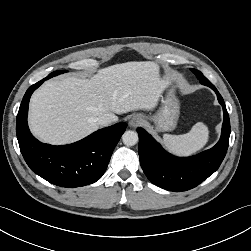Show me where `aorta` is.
Listing matches in <instances>:
<instances>
[{"label": "aorta", "mask_w": 251, "mask_h": 251, "mask_svg": "<svg viewBox=\"0 0 251 251\" xmlns=\"http://www.w3.org/2000/svg\"><path fill=\"white\" fill-rule=\"evenodd\" d=\"M122 141L127 146H133L138 142V134L135 131L128 130L122 135Z\"/></svg>", "instance_id": "762f6f07"}]
</instances>
